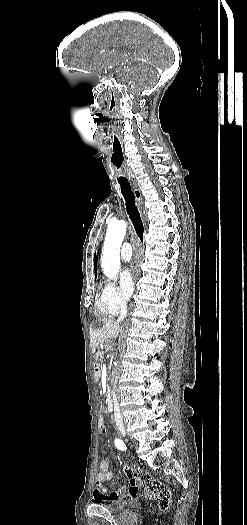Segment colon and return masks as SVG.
Returning a JSON list of instances; mask_svg holds the SVG:
<instances>
[{
  "mask_svg": "<svg viewBox=\"0 0 247 525\" xmlns=\"http://www.w3.org/2000/svg\"><path fill=\"white\" fill-rule=\"evenodd\" d=\"M95 424H96L97 427H99V430L101 432H104L106 430L105 426L107 424V421H106L105 418H103V417L97 418L96 421H95Z\"/></svg>",
  "mask_w": 247,
  "mask_h": 525,
  "instance_id": "colon-1",
  "label": "colon"
}]
</instances>
